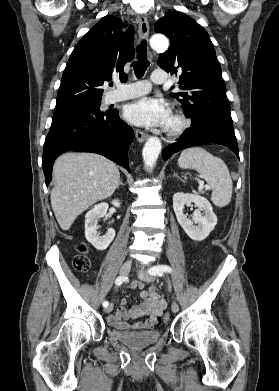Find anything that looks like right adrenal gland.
<instances>
[{
    "mask_svg": "<svg viewBox=\"0 0 279 391\" xmlns=\"http://www.w3.org/2000/svg\"><path fill=\"white\" fill-rule=\"evenodd\" d=\"M120 186H124V183L122 182V180L119 181L117 188H119Z\"/></svg>",
    "mask_w": 279,
    "mask_h": 391,
    "instance_id": "obj_1",
    "label": "right adrenal gland"
}]
</instances>
